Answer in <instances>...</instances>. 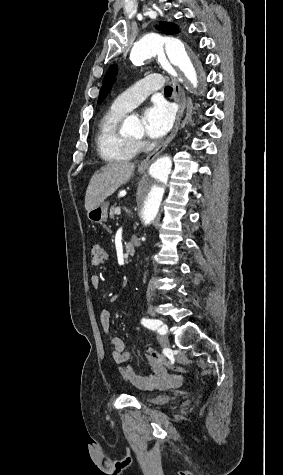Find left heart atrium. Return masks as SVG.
I'll return each instance as SVG.
<instances>
[{"label":"left heart atrium","instance_id":"obj_1","mask_svg":"<svg viewBox=\"0 0 283 475\" xmlns=\"http://www.w3.org/2000/svg\"><path fill=\"white\" fill-rule=\"evenodd\" d=\"M142 120L145 134L151 139H158L172 128L175 112L171 104L155 101L145 109Z\"/></svg>","mask_w":283,"mask_h":475}]
</instances>
